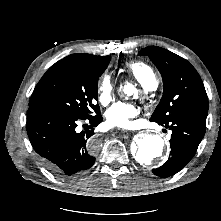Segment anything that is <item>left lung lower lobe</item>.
<instances>
[{
  "label": "left lung lower lobe",
  "mask_w": 221,
  "mask_h": 221,
  "mask_svg": "<svg viewBox=\"0 0 221 221\" xmlns=\"http://www.w3.org/2000/svg\"><path fill=\"white\" fill-rule=\"evenodd\" d=\"M163 125L172 130L171 152L165 164L153 169L152 172L161 178H166L179 172L193 158L204 137L206 124L179 117Z\"/></svg>",
  "instance_id": "left-lung-lower-lobe-1"
}]
</instances>
